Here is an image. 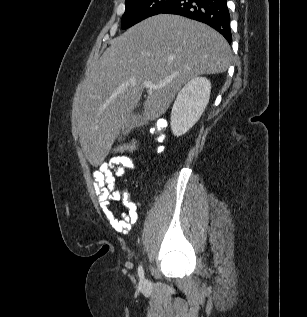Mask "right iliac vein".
<instances>
[{"instance_id": "1", "label": "right iliac vein", "mask_w": 307, "mask_h": 317, "mask_svg": "<svg viewBox=\"0 0 307 317\" xmlns=\"http://www.w3.org/2000/svg\"><path fill=\"white\" fill-rule=\"evenodd\" d=\"M142 284H145V281L144 280H142V282H141Z\"/></svg>"}]
</instances>
